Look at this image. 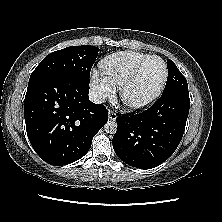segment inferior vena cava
Listing matches in <instances>:
<instances>
[{"instance_id":"obj_1","label":"inferior vena cava","mask_w":222,"mask_h":222,"mask_svg":"<svg viewBox=\"0 0 222 222\" xmlns=\"http://www.w3.org/2000/svg\"><path fill=\"white\" fill-rule=\"evenodd\" d=\"M105 99L106 95L101 92H97L94 90H91L89 92V100L94 104H102L105 102Z\"/></svg>"}]
</instances>
